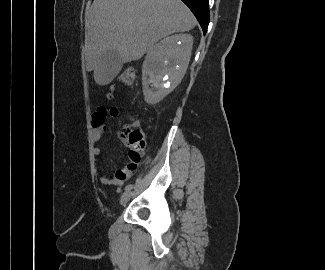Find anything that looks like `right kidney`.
<instances>
[{
  "label": "right kidney",
  "instance_id": "right-kidney-1",
  "mask_svg": "<svg viewBox=\"0 0 325 270\" xmlns=\"http://www.w3.org/2000/svg\"><path fill=\"white\" fill-rule=\"evenodd\" d=\"M193 37L169 36L150 50L143 64V95L148 104L160 102L181 82L191 57Z\"/></svg>",
  "mask_w": 325,
  "mask_h": 270
}]
</instances>
